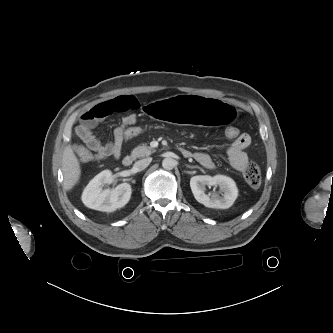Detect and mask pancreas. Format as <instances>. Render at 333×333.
Returning <instances> with one entry per match:
<instances>
[{"instance_id": "cf45deb5", "label": "pancreas", "mask_w": 333, "mask_h": 333, "mask_svg": "<svg viewBox=\"0 0 333 333\" xmlns=\"http://www.w3.org/2000/svg\"><path fill=\"white\" fill-rule=\"evenodd\" d=\"M153 152H155V149L149 147V146H138L133 149L132 156L133 157H145L151 155Z\"/></svg>"}]
</instances>
